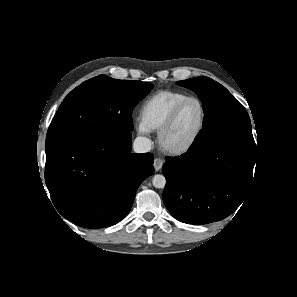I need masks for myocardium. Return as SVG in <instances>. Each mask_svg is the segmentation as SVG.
I'll return each instance as SVG.
<instances>
[{"instance_id":"obj_1","label":"myocardium","mask_w":297,"mask_h":297,"mask_svg":"<svg viewBox=\"0 0 297 297\" xmlns=\"http://www.w3.org/2000/svg\"><path fill=\"white\" fill-rule=\"evenodd\" d=\"M190 102H197L201 108L202 116H201V121L199 124V127L197 128L195 134L193 137L183 146L177 147V148H171L168 147L165 144V137L168 134V132L171 130L173 125L175 124L178 115L180 114L181 110ZM207 121V110L203 102L197 98V97H188L185 100L181 101L170 113L166 121L163 123V125L160 127L158 130V135H157V142L160 147V149L165 152L168 155L172 156H179L186 154L189 152L198 142L199 138L201 137L205 125Z\"/></svg>"}]
</instances>
